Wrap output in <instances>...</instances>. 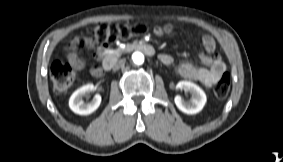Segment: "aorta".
<instances>
[{"label":"aorta","instance_id":"1","mask_svg":"<svg viewBox=\"0 0 283 162\" xmlns=\"http://www.w3.org/2000/svg\"><path fill=\"white\" fill-rule=\"evenodd\" d=\"M132 61L136 65H141L144 62V55L141 52H134L132 54Z\"/></svg>","mask_w":283,"mask_h":162}]
</instances>
